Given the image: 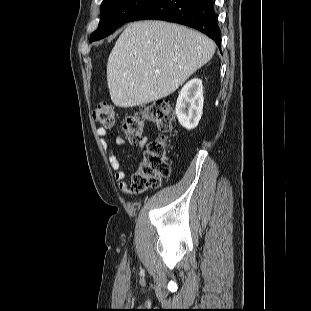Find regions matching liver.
<instances>
[{"instance_id":"obj_1","label":"liver","mask_w":311,"mask_h":311,"mask_svg":"<svg viewBox=\"0 0 311 311\" xmlns=\"http://www.w3.org/2000/svg\"><path fill=\"white\" fill-rule=\"evenodd\" d=\"M215 52L206 35L163 21L128 24L107 62V85L114 105L134 107L176 91Z\"/></svg>"}]
</instances>
